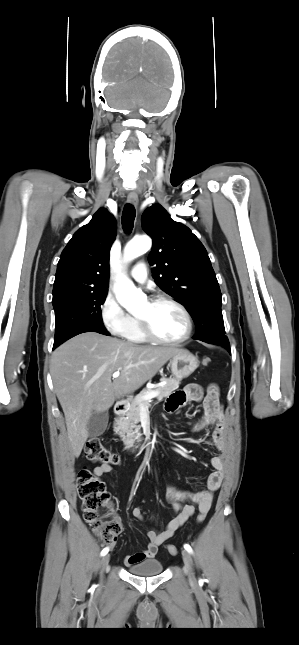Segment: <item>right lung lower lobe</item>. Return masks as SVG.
Wrapping results in <instances>:
<instances>
[{
    "label": "right lung lower lobe",
    "instance_id": "right-lung-lower-lobe-1",
    "mask_svg": "<svg viewBox=\"0 0 299 645\" xmlns=\"http://www.w3.org/2000/svg\"><path fill=\"white\" fill-rule=\"evenodd\" d=\"M84 332H98V333H101V334H104V335H109V333L107 331H96V330H92V329H84V330H80V331L70 335L66 340H68V339H70V338H72V337H74V336H76L78 334L84 333ZM60 344H54L53 349L56 348Z\"/></svg>",
    "mask_w": 299,
    "mask_h": 645
}]
</instances>
